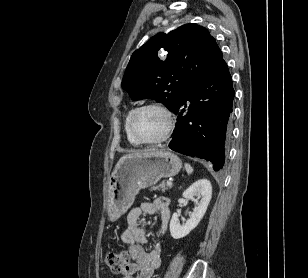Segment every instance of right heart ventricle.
Instances as JSON below:
<instances>
[{"label":"right heart ventricle","instance_id":"e07e8e85","mask_svg":"<svg viewBox=\"0 0 308 278\" xmlns=\"http://www.w3.org/2000/svg\"><path fill=\"white\" fill-rule=\"evenodd\" d=\"M131 111L132 110L128 111V113L125 117L124 130H125V134H126V137H127V140L129 141V143L133 146H138V145H140V143L132 137V135L130 134L129 129H128V118H129Z\"/></svg>","mask_w":308,"mask_h":278}]
</instances>
